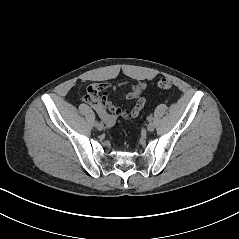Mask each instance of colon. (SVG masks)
Here are the masks:
<instances>
[{
	"mask_svg": "<svg viewBox=\"0 0 239 239\" xmlns=\"http://www.w3.org/2000/svg\"><path fill=\"white\" fill-rule=\"evenodd\" d=\"M157 87L161 90H168L172 87V83L170 80L163 78L157 82Z\"/></svg>",
	"mask_w": 239,
	"mask_h": 239,
	"instance_id": "1",
	"label": "colon"
}]
</instances>
